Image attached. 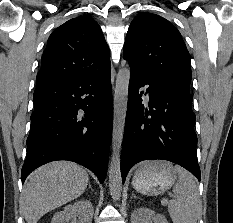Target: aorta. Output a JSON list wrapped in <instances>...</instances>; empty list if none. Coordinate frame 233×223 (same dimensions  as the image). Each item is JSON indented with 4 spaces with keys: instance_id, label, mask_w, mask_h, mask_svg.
<instances>
[{
    "instance_id": "aorta-1",
    "label": "aorta",
    "mask_w": 233,
    "mask_h": 223,
    "mask_svg": "<svg viewBox=\"0 0 233 223\" xmlns=\"http://www.w3.org/2000/svg\"><path fill=\"white\" fill-rule=\"evenodd\" d=\"M130 70L123 68L116 76L114 94L112 157L109 165V187L113 199H119L122 193V177L120 167V149L123 139L125 117L127 112L128 86Z\"/></svg>"
}]
</instances>
